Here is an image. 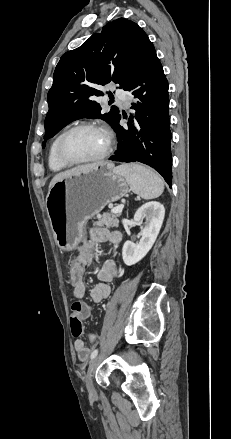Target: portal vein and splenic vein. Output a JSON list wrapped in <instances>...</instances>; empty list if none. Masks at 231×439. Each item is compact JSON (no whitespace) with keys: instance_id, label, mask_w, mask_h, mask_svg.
<instances>
[{"instance_id":"1","label":"portal vein and splenic vein","mask_w":231,"mask_h":439,"mask_svg":"<svg viewBox=\"0 0 231 439\" xmlns=\"http://www.w3.org/2000/svg\"><path fill=\"white\" fill-rule=\"evenodd\" d=\"M123 207H124V205H120V206L114 207V208L111 210V212H112V213H115V214H121L122 211H123Z\"/></svg>"}]
</instances>
